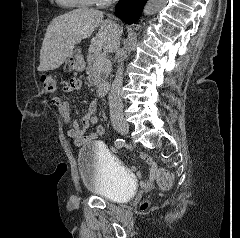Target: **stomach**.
<instances>
[{
    "mask_svg": "<svg viewBox=\"0 0 240 238\" xmlns=\"http://www.w3.org/2000/svg\"><path fill=\"white\" fill-rule=\"evenodd\" d=\"M84 69V61L79 49H75L65 60L63 70L69 72L71 70L81 71Z\"/></svg>",
    "mask_w": 240,
    "mask_h": 238,
    "instance_id": "stomach-1",
    "label": "stomach"
}]
</instances>
